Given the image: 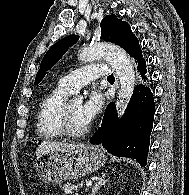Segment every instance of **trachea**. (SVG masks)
I'll use <instances>...</instances> for the list:
<instances>
[{
	"instance_id": "3493384b",
	"label": "trachea",
	"mask_w": 189,
	"mask_h": 195,
	"mask_svg": "<svg viewBox=\"0 0 189 195\" xmlns=\"http://www.w3.org/2000/svg\"><path fill=\"white\" fill-rule=\"evenodd\" d=\"M114 78V75H109L107 79Z\"/></svg>"
}]
</instances>
